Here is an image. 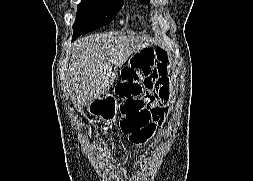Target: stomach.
Returning a JSON list of instances; mask_svg holds the SVG:
<instances>
[{
    "instance_id": "1",
    "label": "stomach",
    "mask_w": 253,
    "mask_h": 181,
    "mask_svg": "<svg viewBox=\"0 0 253 181\" xmlns=\"http://www.w3.org/2000/svg\"><path fill=\"white\" fill-rule=\"evenodd\" d=\"M88 111L105 121H111L116 116L117 102L112 95L97 98L88 105Z\"/></svg>"
}]
</instances>
